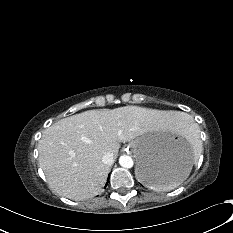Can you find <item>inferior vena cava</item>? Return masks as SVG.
<instances>
[{"instance_id": "1", "label": "inferior vena cava", "mask_w": 233, "mask_h": 233, "mask_svg": "<svg viewBox=\"0 0 233 233\" xmlns=\"http://www.w3.org/2000/svg\"><path fill=\"white\" fill-rule=\"evenodd\" d=\"M102 162L106 165H112L114 163V155L113 153H106L105 155H103L102 157Z\"/></svg>"}]
</instances>
